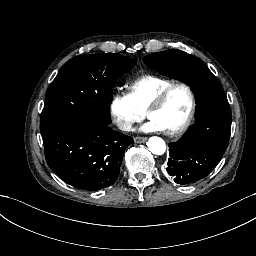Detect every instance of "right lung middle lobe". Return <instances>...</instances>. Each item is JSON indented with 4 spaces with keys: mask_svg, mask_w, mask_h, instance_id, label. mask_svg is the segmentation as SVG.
I'll return each instance as SVG.
<instances>
[{
    "mask_svg": "<svg viewBox=\"0 0 256 256\" xmlns=\"http://www.w3.org/2000/svg\"><path fill=\"white\" fill-rule=\"evenodd\" d=\"M136 64L117 53L76 56L65 63L46 93L40 130L80 131L85 124L109 125L112 88Z\"/></svg>",
    "mask_w": 256,
    "mask_h": 256,
    "instance_id": "right-lung-middle-lobe-1",
    "label": "right lung middle lobe"
}]
</instances>
